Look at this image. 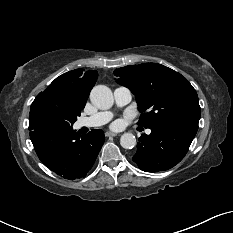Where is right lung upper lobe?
I'll use <instances>...</instances> for the list:
<instances>
[{"label": "right lung upper lobe", "instance_id": "right-lung-upper-lobe-1", "mask_svg": "<svg viewBox=\"0 0 233 233\" xmlns=\"http://www.w3.org/2000/svg\"><path fill=\"white\" fill-rule=\"evenodd\" d=\"M98 77L97 71H87L75 69L57 77L49 87L37 95L55 96L78 109H83L90 91Z\"/></svg>", "mask_w": 233, "mask_h": 233}]
</instances>
